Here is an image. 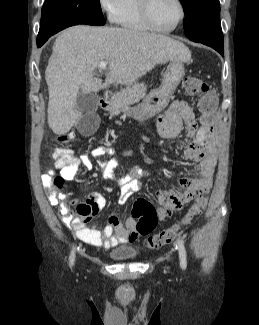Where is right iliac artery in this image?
Segmentation results:
<instances>
[{"instance_id":"82829eb1","label":"right iliac artery","mask_w":259,"mask_h":325,"mask_svg":"<svg viewBox=\"0 0 259 325\" xmlns=\"http://www.w3.org/2000/svg\"><path fill=\"white\" fill-rule=\"evenodd\" d=\"M74 260H75V249H73L71 251V254H70V257H69L70 266H72L74 264Z\"/></svg>"}]
</instances>
